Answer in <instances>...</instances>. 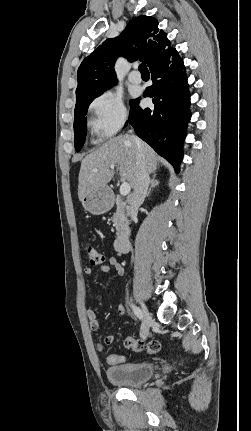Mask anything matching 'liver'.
I'll return each mask as SVG.
<instances>
[{"label": "liver", "instance_id": "1", "mask_svg": "<svg viewBox=\"0 0 251 431\" xmlns=\"http://www.w3.org/2000/svg\"><path fill=\"white\" fill-rule=\"evenodd\" d=\"M134 137L129 135L113 137L82 159L78 184L80 201L90 190L106 187L114 176V169L110 167L112 165L119 169L121 179L127 180L134 188L137 171V144ZM140 143L148 173H154L158 167L159 157L147 143L141 140ZM94 169L98 171L94 172Z\"/></svg>", "mask_w": 251, "mask_h": 431}]
</instances>
